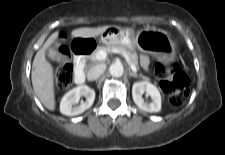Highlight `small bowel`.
I'll list each match as a JSON object with an SVG mask.
<instances>
[{
    "mask_svg": "<svg viewBox=\"0 0 225 155\" xmlns=\"http://www.w3.org/2000/svg\"><path fill=\"white\" fill-rule=\"evenodd\" d=\"M141 63H142L143 66H147V64H148L147 58L146 57H142L141 58Z\"/></svg>",
    "mask_w": 225,
    "mask_h": 155,
    "instance_id": "obj_1",
    "label": "small bowel"
}]
</instances>
